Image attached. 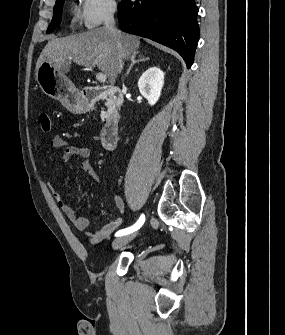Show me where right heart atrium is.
Listing matches in <instances>:
<instances>
[{"label":"right heart atrium","mask_w":285,"mask_h":335,"mask_svg":"<svg viewBox=\"0 0 285 335\" xmlns=\"http://www.w3.org/2000/svg\"><path fill=\"white\" fill-rule=\"evenodd\" d=\"M116 1H82L72 11V22L87 29H94L109 21L117 12Z\"/></svg>","instance_id":"obj_1"}]
</instances>
